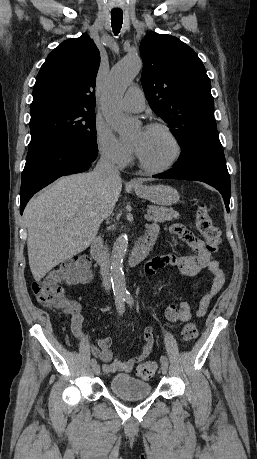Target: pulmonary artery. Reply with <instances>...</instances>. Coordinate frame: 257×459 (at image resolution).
<instances>
[{
    "label": "pulmonary artery",
    "mask_w": 257,
    "mask_h": 459,
    "mask_svg": "<svg viewBox=\"0 0 257 459\" xmlns=\"http://www.w3.org/2000/svg\"><path fill=\"white\" fill-rule=\"evenodd\" d=\"M121 106L128 112H141L145 108V98L142 90L131 86L121 100Z\"/></svg>",
    "instance_id": "e3ab8cb5"
}]
</instances>
